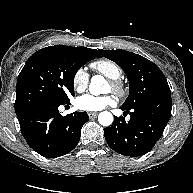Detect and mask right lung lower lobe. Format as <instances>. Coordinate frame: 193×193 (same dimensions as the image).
I'll use <instances>...</instances> for the list:
<instances>
[{"label": "right lung lower lobe", "mask_w": 193, "mask_h": 193, "mask_svg": "<svg viewBox=\"0 0 193 193\" xmlns=\"http://www.w3.org/2000/svg\"><path fill=\"white\" fill-rule=\"evenodd\" d=\"M56 101H44L17 114L21 133L28 145L44 157L55 158L72 151L81 128L89 120L86 112L62 116Z\"/></svg>", "instance_id": "right-lung-lower-lobe-1"}]
</instances>
